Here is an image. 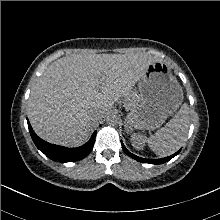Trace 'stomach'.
Here are the masks:
<instances>
[{
    "label": "stomach",
    "instance_id": "1",
    "mask_svg": "<svg viewBox=\"0 0 220 220\" xmlns=\"http://www.w3.org/2000/svg\"><path fill=\"white\" fill-rule=\"evenodd\" d=\"M140 98L127 107L129 127L153 130L175 112L183 101V90L169 67L155 61L147 67L139 83Z\"/></svg>",
    "mask_w": 220,
    "mask_h": 220
}]
</instances>
